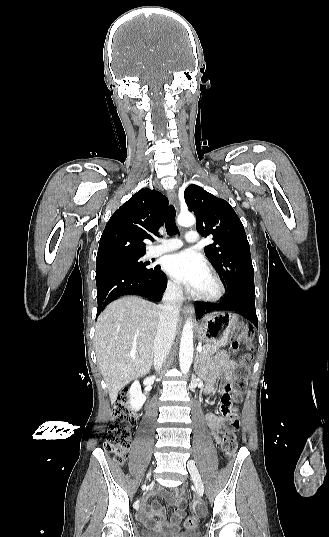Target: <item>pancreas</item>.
<instances>
[{
	"mask_svg": "<svg viewBox=\"0 0 329 537\" xmlns=\"http://www.w3.org/2000/svg\"><path fill=\"white\" fill-rule=\"evenodd\" d=\"M218 350L217 346L214 345H205L203 350L198 355V360L200 362L209 361L212 358V355Z\"/></svg>",
	"mask_w": 329,
	"mask_h": 537,
	"instance_id": "1",
	"label": "pancreas"
}]
</instances>
